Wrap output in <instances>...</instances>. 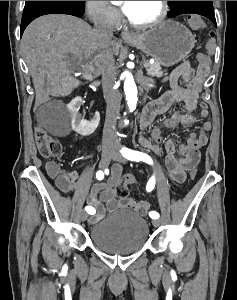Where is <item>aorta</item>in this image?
<instances>
[{
	"label": "aorta",
	"mask_w": 237,
	"mask_h": 300,
	"mask_svg": "<svg viewBox=\"0 0 237 300\" xmlns=\"http://www.w3.org/2000/svg\"><path fill=\"white\" fill-rule=\"evenodd\" d=\"M123 77H125L124 81V93L126 95V101L127 105L129 107V111H134L136 109L137 105V87L135 85V81L129 73V71H125V73H122Z\"/></svg>",
	"instance_id": "obj_1"
}]
</instances>
